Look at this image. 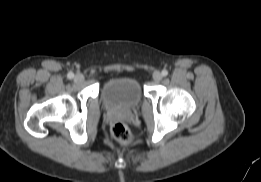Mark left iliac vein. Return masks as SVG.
Masks as SVG:
<instances>
[{"label":"left iliac vein","mask_w":261,"mask_h":182,"mask_svg":"<svg viewBox=\"0 0 261 182\" xmlns=\"http://www.w3.org/2000/svg\"><path fill=\"white\" fill-rule=\"evenodd\" d=\"M153 80L157 83L160 82L162 80V74L159 71H155L153 73Z\"/></svg>","instance_id":"4c4485c4"}]
</instances>
